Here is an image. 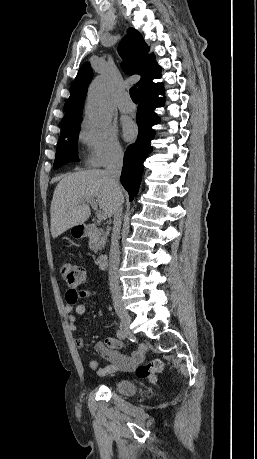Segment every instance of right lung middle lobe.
I'll return each mask as SVG.
<instances>
[{
    "instance_id": "obj_1",
    "label": "right lung middle lobe",
    "mask_w": 257,
    "mask_h": 459,
    "mask_svg": "<svg viewBox=\"0 0 257 459\" xmlns=\"http://www.w3.org/2000/svg\"><path fill=\"white\" fill-rule=\"evenodd\" d=\"M79 126L76 125L60 134L58 141L54 168L61 167L63 164L71 161H79L77 154V141L79 135Z\"/></svg>"
}]
</instances>
